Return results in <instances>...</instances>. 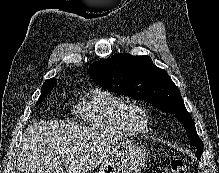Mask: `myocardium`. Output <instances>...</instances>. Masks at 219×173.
<instances>
[{
	"label": "myocardium",
	"instance_id": "1",
	"mask_svg": "<svg viewBox=\"0 0 219 173\" xmlns=\"http://www.w3.org/2000/svg\"><path fill=\"white\" fill-rule=\"evenodd\" d=\"M125 118L138 133H146L149 130L151 112L144 103L140 101L128 103L125 108Z\"/></svg>",
	"mask_w": 219,
	"mask_h": 173
}]
</instances>
